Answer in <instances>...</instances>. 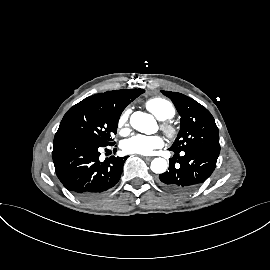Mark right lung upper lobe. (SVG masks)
<instances>
[{"mask_svg": "<svg viewBox=\"0 0 270 270\" xmlns=\"http://www.w3.org/2000/svg\"><path fill=\"white\" fill-rule=\"evenodd\" d=\"M142 93H144L143 89L114 90L99 93L89 98L97 103L110 107L118 113H122L125 107Z\"/></svg>", "mask_w": 270, "mask_h": 270, "instance_id": "right-lung-upper-lobe-1", "label": "right lung upper lobe"}]
</instances>
